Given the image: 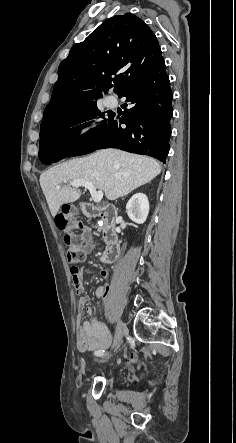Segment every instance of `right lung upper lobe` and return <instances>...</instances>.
I'll return each mask as SVG.
<instances>
[{"label": "right lung upper lobe", "instance_id": "cb5924a9", "mask_svg": "<svg viewBox=\"0 0 236 443\" xmlns=\"http://www.w3.org/2000/svg\"><path fill=\"white\" fill-rule=\"evenodd\" d=\"M161 58L157 38L143 20L131 13L111 17L61 62L43 120L85 106L112 86L121 94Z\"/></svg>", "mask_w": 236, "mask_h": 443}]
</instances>
